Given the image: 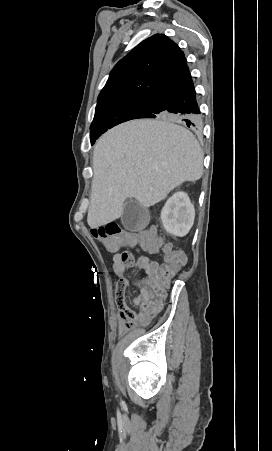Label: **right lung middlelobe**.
Masks as SVG:
<instances>
[{
  "mask_svg": "<svg viewBox=\"0 0 272 451\" xmlns=\"http://www.w3.org/2000/svg\"><path fill=\"white\" fill-rule=\"evenodd\" d=\"M149 100L150 96L127 97L98 104L90 126L91 143H94L108 129L135 119L147 108Z\"/></svg>",
  "mask_w": 272,
  "mask_h": 451,
  "instance_id": "dd1d6c3e",
  "label": "right lung middle lobe"
}]
</instances>
